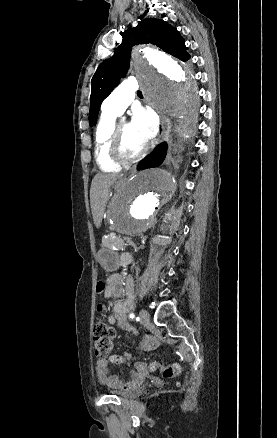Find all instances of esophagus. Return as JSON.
Segmentation results:
<instances>
[{"label": "esophagus", "instance_id": "esophagus-1", "mask_svg": "<svg viewBox=\"0 0 277 438\" xmlns=\"http://www.w3.org/2000/svg\"><path fill=\"white\" fill-rule=\"evenodd\" d=\"M169 133H170V122L168 117L165 115L160 114V128H159V140L161 142L168 141L169 140ZM129 176H132V172L129 174Z\"/></svg>", "mask_w": 277, "mask_h": 438}]
</instances>
